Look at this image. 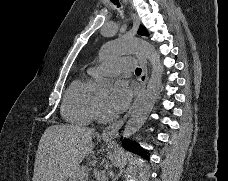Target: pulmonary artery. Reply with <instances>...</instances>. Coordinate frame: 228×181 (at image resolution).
<instances>
[{
  "instance_id": "e3ab8cb5",
  "label": "pulmonary artery",
  "mask_w": 228,
  "mask_h": 181,
  "mask_svg": "<svg viewBox=\"0 0 228 181\" xmlns=\"http://www.w3.org/2000/svg\"><path fill=\"white\" fill-rule=\"evenodd\" d=\"M106 62H117L115 65H105V70H120V71H134L137 66L133 62V57H120V58H106Z\"/></svg>"
}]
</instances>
